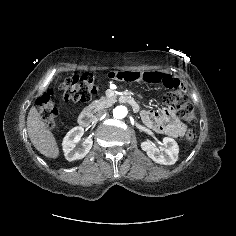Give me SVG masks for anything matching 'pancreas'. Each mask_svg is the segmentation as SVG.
Returning a JSON list of instances; mask_svg holds the SVG:
<instances>
[{"label":"pancreas","mask_w":236,"mask_h":236,"mask_svg":"<svg viewBox=\"0 0 236 236\" xmlns=\"http://www.w3.org/2000/svg\"><path fill=\"white\" fill-rule=\"evenodd\" d=\"M110 105V99L106 97H101L99 100L93 101L90 105L86 107V110L92 112H98Z\"/></svg>","instance_id":"obj_1"}]
</instances>
